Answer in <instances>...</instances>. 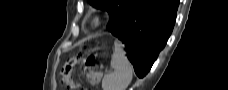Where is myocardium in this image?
<instances>
[{"label": "myocardium", "mask_w": 228, "mask_h": 90, "mask_svg": "<svg viewBox=\"0 0 228 90\" xmlns=\"http://www.w3.org/2000/svg\"><path fill=\"white\" fill-rule=\"evenodd\" d=\"M101 23H102L101 15H99V14L94 15V17L92 18V21H91V27L97 28L101 25Z\"/></svg>", "instance_id": "1"}]
</instances>
